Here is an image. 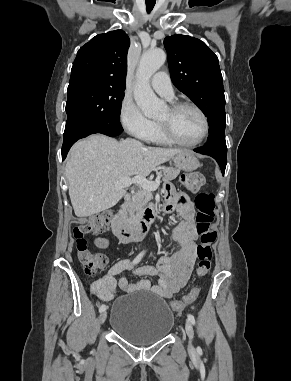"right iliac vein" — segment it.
<instances>
[{
    "label": "right iliac vein",
    "instance_id": "63e3f726",
    "mask_svg": "<svg viewBox=\"0 0 291 381\" xmlns=\"http://www.w3.org/2000/svg\"><path fill=\"white\" fill-rule=\"evenodd\" d=\"M107 318V312L103 311L99 316V322L100 324H103Z\"/></svg>",
    "mask_w": 291,
    "mask_h": 381
}]
</instances>
